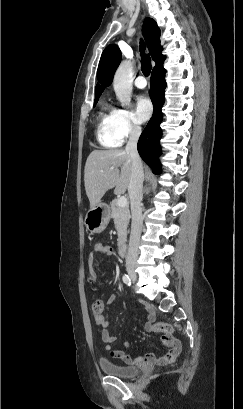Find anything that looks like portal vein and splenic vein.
<instances>
[{
    "label": "portal vein and splenic vein",
    "mask_w": 243,
    "mask_h": 409,
    "mask_svg": "<svg viewBox=\"0 0 243 409\" xmlns=\"http://www.w3.org/2000/svg\"><path fill=\"white\" fill-rule=\"evenodd\" d=\"M119 207H125L128 204L127 198L125 196H120L117 200Z\"/></svg>",
    "instance_id": "portal-vein-and-splenic-vein-1"
}]
</instances>
